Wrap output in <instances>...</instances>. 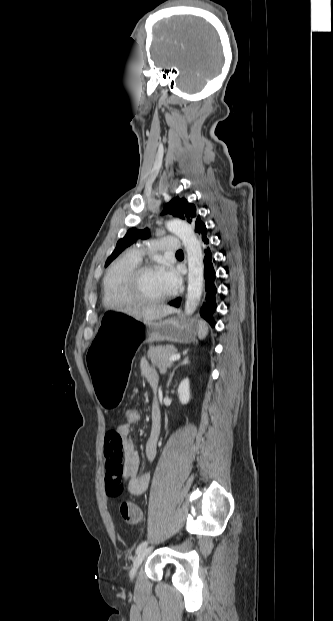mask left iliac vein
I'll list each match as a JSON object with an SVG mask.
<instances>
[{
    "label": "left iliac vein",
    "mask_w": 333,
    "mask_h": 621,
    "mask_svg": "<svg viewBox=\"0 0 333 621\" xmlns=\"http://www.w3.org/2000/svg\"><path fill=\"white\" fill-rule=\"evenodd\" d=\"M151 550H152V547H147L137 554V556L135 557L133 561L132 569L130 571L131 578H134L136 576L140 565L142 564L143 560L149 555Z\"/></svg>",
    "instance_id": "obj_1"
}]
</instances>
